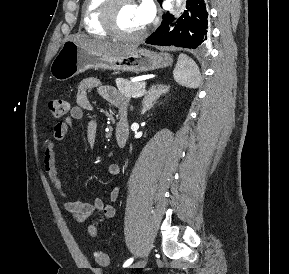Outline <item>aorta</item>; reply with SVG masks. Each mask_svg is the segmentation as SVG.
Returning a JSON list of instances; mask_svg holds the SVG:
<instances>
[{
  "instance_id": "aorta-1",
  "label": "aorta",
  "mask_w": 289,
  "mask_h": 274,
  "mask_svg": "<svg viewBox=\"0 0 289 274\" xmlns=\"http://www.w3.org/2000/svg\"><path fill=\"white\" fill-rule=\"evenodd\" d=\"M181 3V0H177V4H180Z\"/></svg>"
}]
</instances>
